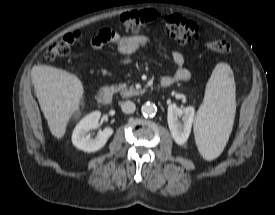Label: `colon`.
Masks as SVG:
<instances>
[{
	"label": "colon",
	"mask_w": 275,
	"mask_h": 215,
	"mask_svg": "<svg viewBox=\"0 0 275 215\" xmlns=\"http://www.w3.org/2000/svg\"><path fill=\"white\" fill-rule=\"evenodd\" d=\"M121 22L131 32L141 31L153 24L161 25L170 36L181 43L197 38L200 33L197 24L180 15H162L153 10L125 13L121 16ZM79 37V32H73L56 40L46 51L45 59L54 61L66 56ZM206 48L215 53L226 54L230 45L224 40H210L206 43Z\"/></svg>",
	"instance_id": "1"
}]
</instances>
